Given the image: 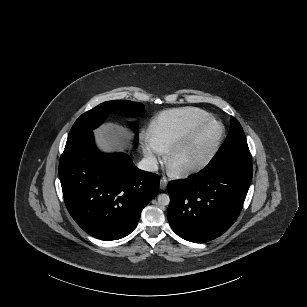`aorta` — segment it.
<instances>
[{
    "mask_svg": "<svg viewBox=\"0 0 307 307\" xmlns=\"http://www.w3.org/2000/svg\"><path fill=\"white\" fill-rule=\"evenodd\" d=\"M169 202H170V198L167 194H160L158 196V204L162 206H166L169 204Z\"/></svg>",
    "mask_w": 307,
    "mask_h": 307,
    "instance_id": "762f6f07",
    "label": "aorta"
}]
</instances>
